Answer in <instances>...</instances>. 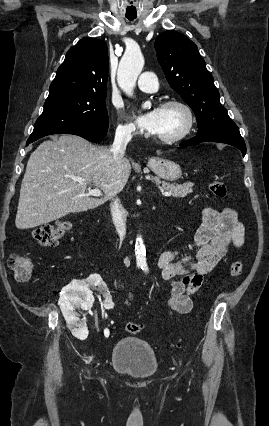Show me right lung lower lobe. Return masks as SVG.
I'll list each match as a JSON object with an SVG mask.
<instances>
[{"instance_id":"right-lung-lower-lobe-1","label":"right lung lower lobe","mask_w":269,"mask_h":426,"mask_svg":"<svg viewBox=\"0 0 269 426\" xmlns=\"http://www.w3.org/2000/svg\"><path fill=\"white\" fill-rule=\"evenodd\" d=\"M107 133V129L103 128H95L91 126H83L77 129L69 130L66 132L58 133V134H75L81 136L87 140L98 143L100 142ZM33 140H28L26 145L32 143Z\"/></svg>"}]
</instances>
